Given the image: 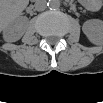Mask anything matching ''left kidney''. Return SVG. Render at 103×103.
<instances>
[{"instance_id": "5707ae66", "label": "left kidney", "mask_w": 103, "mask_h": 103, "mask_svg": "<svg viewBox=\"0 0 103 103\" xmlns=\"http://www.w3.org/2000/svg\"><path fill=\"white\" fill-rule=\"evenodd\" d=\"M82 31L91 43L95 45L103 43V22L101 20H87L82 26Z\"/></svg>"}]
</instances>
